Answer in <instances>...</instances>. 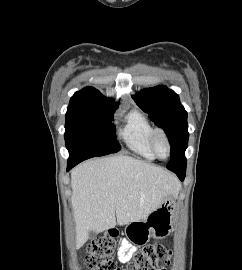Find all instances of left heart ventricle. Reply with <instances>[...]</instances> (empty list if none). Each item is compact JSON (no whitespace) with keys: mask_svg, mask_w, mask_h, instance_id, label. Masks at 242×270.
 <instances>
[{"mask_svg":"<svg viewBox=\"0 0 242 270\" xmlns=\"http://www.w3.org/2000/svg\"><path fill=\"white\" fill-rule=\"evenodd\" d=\"M156 148L160 156L165 157L167 155L168 153L167 145H166V142L162 138H159L157 140Z\"/></svg>","mask_w":242,"mask_h":270,"instance_id":"1","label":"left heart ventricle"}]
</instances>
